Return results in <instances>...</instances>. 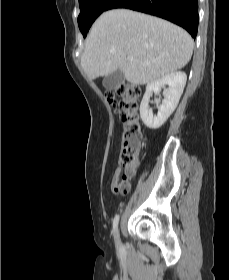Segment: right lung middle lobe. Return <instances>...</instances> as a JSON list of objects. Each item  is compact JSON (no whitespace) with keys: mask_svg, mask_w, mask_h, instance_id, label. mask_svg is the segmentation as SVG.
<instances>
[{"mask_svg":"<svg viewBox=\"0 0 229 280\" xmlns=\"http://www.w3.org/2000/svg\"><path fill=\"white\" fill-rule=\"evenodd\" d=\"M112 2L113 0H79L78 25L84 37L95 19L106 11Z\"/></svg>","mask_w":229,"mask_h":280,"instance_id":"1","label":"right lung middle lobe"}]
</instances>
